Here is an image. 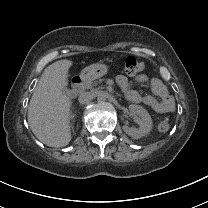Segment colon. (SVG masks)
<instances>
[{
	"instance_id": "1",
	"label": "colon",
	"mask_w": 208,
	"mask_h": 208,
	"mask_svg": "<svg viewBox=\"0 0 208 208\" xmlns=\"http://www.w3.org/2000/svg\"><path fill=\"white\" fill-rule=\"evenodd\" d=\"M144 65L141 60H139L135 55H128L124 61L125 73L128 76H133L143 69ZM171 127V118L166 116L161 119L158 125V129L161 132H166Z\"/></svg>"
}]
</instances>
